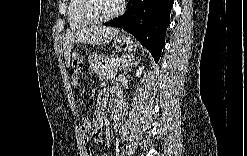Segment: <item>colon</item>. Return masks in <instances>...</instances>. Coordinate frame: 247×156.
I'll return each instance as SVG.
<instances>
[{
  "mask_svg": "<svg viewBox=\"0 0 247 156\" xmlns=\"http://www.w3.org/2000/svg\"><path fill=\"white\" fill-rule=\"evenodd\" d=\"M84 133H85L86 136H88L90 138L97 135V132L95 130H93V129L84 128Z\"/></svg>",
  "mask_w": 247,
  "mask_h": 156,
  "instance_id": "obj_1",
  "label": "colon"
}]
</instances>
